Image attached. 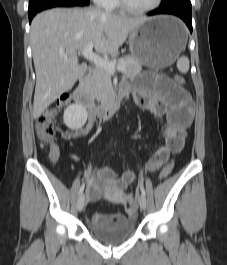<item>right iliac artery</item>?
<instances>
[{
  "mask_svg": "<svg viewBox=\"0 0 227 265\" xmlns=\"http://www.w3.org/2000/svg\"><path fill=\"white\" fill-rule=\"evenodd\" d=\"M85 184L83 183L79 189V195H81L84 191Z\"/></svg>",
  "mask_w": 227,
  "mask_h": 265,
  "instance_id": "obj_1",
  "label": "right iliac artery"
}]
</instances>
